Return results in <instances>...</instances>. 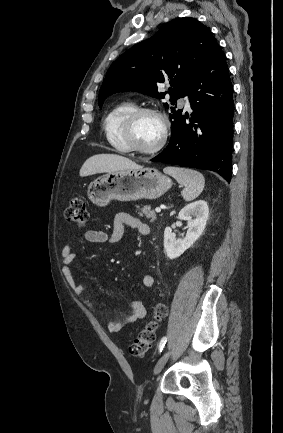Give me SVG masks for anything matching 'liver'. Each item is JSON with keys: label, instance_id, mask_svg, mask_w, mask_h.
I'll return each instance as SVG.
<instances>
[{"label": "liver", "instance_id": "6515ba94", "mask_svg": "<svg viewBox=\"0 0 283 433\" xmlns=\"http://www.w3.org/2000/svg\"><path fill=\"white\" fill-rule=\"evenodd\" d=\"M141 164L120 156V154H94L85 160L80 168V176H89L96 172H118V170H140Z\"/></svg>", "mask_w": 283, "mask_h": 433}]
</instances>
